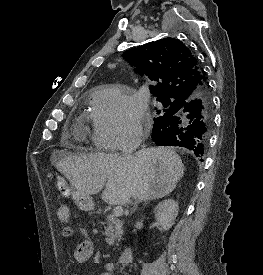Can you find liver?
Here are the masks:
<instances>
[{"instance_id": "1", "label": "liver", "mask_w": 263, "mask_h": 275, "mask_svg": "<svg viewBox=\"0 0 263 275\" xmlns=\"http://www.w3.org/2000/svg\"><path fill=\"white\" fill-rule=\"evenodd\" d=\"M55 167L78 191L99 193L111 205H125L131 198L139 201L159 199L170 194L184 175L181 158L170 148H142L126 163L117 154L93 153L66 155L54 152Z\"/></svg>"}]
</instances>
